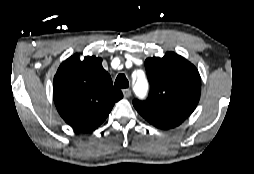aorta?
Wrapping results in <instances>:
<instances>
[{
  "instance_id": "aorta-1",
  "label": "aorta",
  "mask_w": 254,
  "mask_h": 174,
  "mask_svg": "<svg viewBox=\"0 0 254 174\" xmlns=\"http://www.w3.org/2000/svg\"><path fill=\"white\" fill-rule=\"evenodd\" d=\"M148 90V82L147 80L143 77L140 78L137 81V88H136V93L139 97H144L147 93Z\"/></svg>"
}]
</instances>
